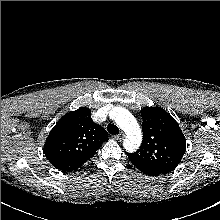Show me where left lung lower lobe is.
I'll use <instances>...</instances> for the list:
<instances>
[{"mask_svg":"<svg viewBox=\"0 0 220 220\" xmlns=\"http://www.w3.org/2000/svg\"><path fill=\"white\" fill-rule=\"evenodd\" d=\"M130 161L140 170L142 171L143 173L145 174H148V175H151V176H156V175H159V173H157L156 171H154L153 169H150L149 167H147L146 165L138 162V161H135L131 158H129Z\"/></svg>","mask_w":220,"mask_h":220,"instance_id":"left-lung-lower-lobe-1","label":"left lung lower lobe"}]
</instances>
